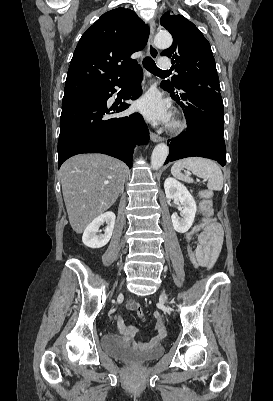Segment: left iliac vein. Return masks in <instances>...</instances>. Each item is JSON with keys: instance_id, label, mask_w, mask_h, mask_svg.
I'll return each instance as SVG.
<instances>
[{"instance_id": "1", "label": "left iliac vein", "mask_w": 273, "mask_h": 401, "mask_svg": "<svg viewBox=\"0 0 273 401\" xmlns=\"http://www.w3.org/2000/svg\"><path fill=\"white\" fill-rule=\"evenodd\" d=\"M161 297H162V299L167 303V306H168L166 293H165V292H162Z\"/></svg>"}]
</instances>
